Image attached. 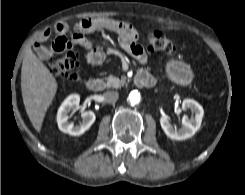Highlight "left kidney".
I'll list each match as a JSON object with an SVG mask.
<instances>
[{
  "label": "left kidney",
  "mask_w": 245,
  "mask_h": 195,
  "mask_svg": "<svg viewBox=\"0 0 245 195\" xmlns=\"http://www.w3.org/2000/svg\"><path fill=\"white\" fill-rule=\"evenodd\" d=\"M183 109H190L192 112L195 113L194 117L190 119L184 115L182 118V125L183 127L180 129L174 128L167 116L162 115L160 118V124L165 132V134L172 140H185L187 138L192 137L196 131L199 130L202 122V118L204 115V110L202 106L192 99H184L182 103Z\"/></svg>",
  "instance_id": "5707ae66"
}]
</instances>
